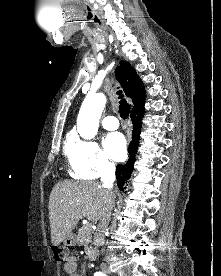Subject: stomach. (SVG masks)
I'll use <instances>...</instances> for the list:
<instances>
[{
  "instance_id": "obj_1",
  "label": "stomach",
  "mask_w": 221,
  "mask_h": 276,
  "mask_svg": "<svg viewBox=\"0 0 221 276\" xmlns=\"http://www.w3.org/2000/svg\"><path fill=\"white\" fill-rule=\"evenodd\" d=\"M63 244L67 246H74L76 244V236L70 233L64 240Z\"/></svg>"
}]
</instances>
